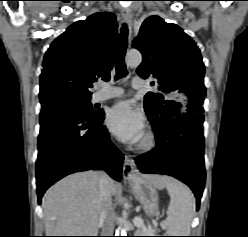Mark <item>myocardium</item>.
I'll return each instance as SVG.
<instances>
[{"mask_svg":"<svg viewBox=\"0 0 248 237\" xmlns=\"http://www.w3.org/2000/svg\"><path fill=\"white\" fill-rule=\"evenodd\" d=\"M157 146V138L153 132H148L140 144L138 145V149L142 152H150L154 150Z\"/></svg>","mask_w":248,"mask_h":237,"instance_id":"myocardium-1","label":"myocardium"}]
</instances>
